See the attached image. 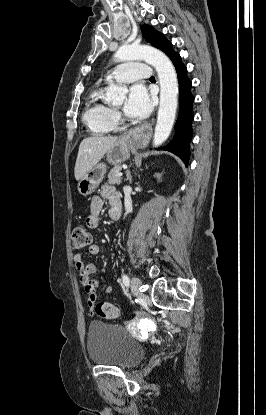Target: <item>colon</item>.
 <instances>
[{
	"instance_id": "obj_1",
	"label": "colon",
	"mask_w": 266,
	"mask_h": 415,
	"mask_svg": "<svg viewBox=\"0 0 266 415\" xmlns=\"http://www.w3.org/2000/svg\"><path fill=\"white\" fill-rule=\"evenodd\" d=\"M71 248L73 251H80L90 243V234L81 227L75 228L71 233ZM92 313L105 319H114L118 316V309L111 303L100 302L93 308Z\"/></svg>"
}]
</instances>
